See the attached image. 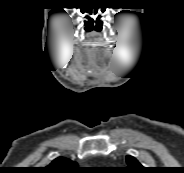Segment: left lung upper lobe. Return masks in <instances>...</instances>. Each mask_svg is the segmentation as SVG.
<instances>
[{
	"label": "left lung upper lobe",
	"mask_w": 184,
	"mask_h": 173,
	"mask_svg": "<svg viewBox=\"0 0 184 173\" xmlns=\"http://www.w3.org/2000/svg\"><path fill=\"white\" fill-rule=\"evenodd\" d=\"M126 161L128 164V167L126 170L129 173H142L144 172V167L132 156H126Z\"/></svg>",
	"instance_id": "1"
}]
</instances>
